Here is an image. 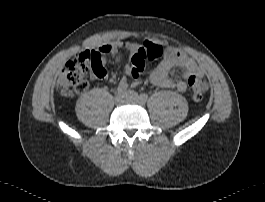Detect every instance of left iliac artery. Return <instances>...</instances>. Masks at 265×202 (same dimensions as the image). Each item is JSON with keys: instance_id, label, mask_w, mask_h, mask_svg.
<instances>
[{"instance_id": "obj_1", "label": "left iliac artery", "mask_w": 265, "mask_h": 202, "mask_svg": "<svg viewBox=\"0 0 265 202\" xmlns=\"http://www.w3.org/2000/svg\"><path fill=\"white\" fill-rule=\"evenodd\" d=\"M140 97H141V100L143 101V102H146L147 100H148V95L147 94H141L140 95Z\"/></svg>"}]
</instances>
